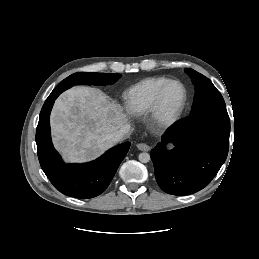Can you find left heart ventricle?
I'll return each instance as SVG.
<instances>
[{
	"mask_svg": "<svg viewBox=\"0 0 259 259\" xmlns=\"http://www.w3.org/2000/svg\"><path fill=\"white\" fill-rule=\"evenodd\" d=\"M182 89L179 85L173 84L169 86L164 95V106L166 110L174 109L182 99Z\"/></svg>",
	"mask_w": 259,
	"mask_h": 259,
	"instance_id": "obj_1",
	"label": "left heart ventricle"
}]
</instances>
